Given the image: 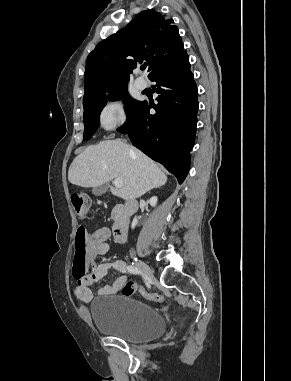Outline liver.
I'll return each instance as SVG.
<instances>
[{
	"instance_id": "1",
	"label": "liver",
	"mask_w": 291,
	"mask_h": 381,
	"mask_svg": "<svg viewBox=\"0 0 291 381\" xmlns=\"http://www.w3.org/2000/svg\"><path fill=\"white\" fill-rule=\"evenodd\" d=\"M116 178L123 180V186H111L110 190L124 200L139 198L167 181L152 159L120 140L87 147L73 160L68 171L69 182L81 187L95 188Z\"/></svg>"
}]
</instances>
